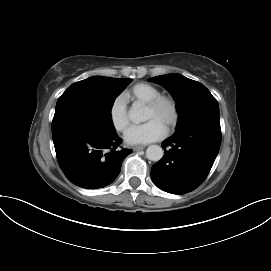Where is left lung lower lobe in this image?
<instances>
[{"instance_id":"obj_1","label":"left lung lower lobe","mask_w":271,"mask_h":271,"mask_svg":"<svg viewBox=\"0 0 271 271\" xmlns=\"http://www.w3.org/2000/svg\"><path fill=\"white\" fill-rule=\"evenodd\" d=\"M220 144V121H200L177 129L162 143L165 155L152 166L153 182L172 194L193 191L207 177Z\"/></svg>"}]
</instances>
